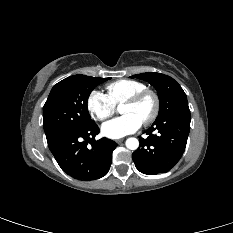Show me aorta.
Here are the masks:
<instances>
[{
	"instance_id": "1",
	"label": "aorta",
	"mask_w": 233,
	"mask_h": 233,
	"mask_svg": "<svg viewBox=\"0 0 233 233\" xmlns=\"http://www.w3.org/2000/svg\"><path fill=\"white\" fill-rule=\"evenodd\" d=\"M125 144L130 150H136L139 147V141L134 137L128 138Z\"/></svg>"
}]
</instances>
